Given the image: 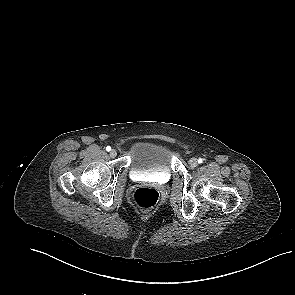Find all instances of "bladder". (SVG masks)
Listing matches in <instances>:
<instances>
[{"mask_svg": "<svg viewBox=\"0 0 295 295\" xmlns=\"http://www.w3.org/2000/svg\"><path fill=\"white\" fill-rule=\"evenodd\" d=\"M173 152L165 143L141 141L132 151L130 170L133 175L169 180L172 175Z\"/></svg>", "mask_w": 295, "mask_h": 295, "instance_id": "1", "label": "bladder"}]
</instances>
